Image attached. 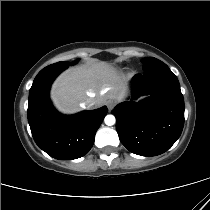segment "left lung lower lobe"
<instances>
[{
	"label": "left lung lower lobe",
	"instance_id": "1",
	"mask_svg": "<svg viewBox=\"0 0 210 210\" xmlns=\"http://www.w3.org/2000/svg\"><path fill=\"white\" fill-rule=\"evenodd\" d=\"M134 92L150 94L141 102L117 105L116 130L122 144L132 153L156 156L167 151L184 126V99L176 75L164 64L134 76Z\"/></svg>",
	"mask_w": 210,
	"mask_h": 210
}]
</instances>
